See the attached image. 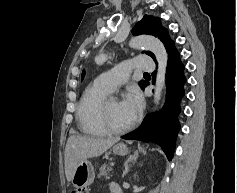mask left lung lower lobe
Instances as JSON below:
<instances>
[{
  "mask_svg": "<svg viewBox=\"0 0 237 193\" xmlns=\"http://www.w3.org/2000/svg\"><path fill=\"white\" fill-rule=\"evenodd\" d=\"M167 53V95L162 110L156 114L148 115L137 130L122 136V138L156 143L163 149L168 160H171L176 135L180 129L177 116L180 112V100L184 96L183 85L186 78L183 73L184 65L180 61V54L175 48L174 42L167 48ZM155 73L152 74L153 80H155ZM146 85L148 83L144 84V86Z\"/></svg>",
  "mask_w": 237,
  "mask_h": 193,
  "instance_id": "0a47b994",
  "label": "left lung lower lobe"
}]
</instances>
